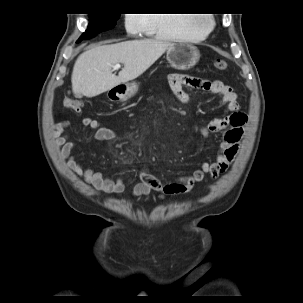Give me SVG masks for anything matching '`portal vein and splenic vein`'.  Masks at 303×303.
<instances>
[{
	"mask_svg": "<svg viewBox=\"0 0 303 303\" xmlns=\"http://www.w3.org/2000/svg\"><path fill=\"white\" fill-rule=\"evenodd\" d=\"M120 67H121V65L119 63L114 66L115 69H118Z\"/></svg>",
	"mask_w": 303,
	"mask_h": 303,
	"instance_id": "obj_1",
	"label": "portal vein and splenic vein"
}]
</instances>
